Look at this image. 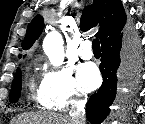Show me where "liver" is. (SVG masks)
Segmentation results:
<instances>
[{
	"mask_svg": "<svg viewBox=\"0 0 145 124\" xmlns=\"http://www.w3.org/2000/svg\"><path fill=\"white\" fill-rule=\"evenodd\" d=\"M11 124H73L66 116L52 113H27L17 116Z\"/></svg>",
	"mask_w": 145,
	"mask_h": 124,
	"instance_id": "1",
	"label": "liver"
}]
</instances>
